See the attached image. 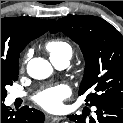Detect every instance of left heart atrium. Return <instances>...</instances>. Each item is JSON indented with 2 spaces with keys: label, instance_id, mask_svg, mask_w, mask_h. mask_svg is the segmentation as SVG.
I'll return each mask as SVG.
<instances>
[{
  "label": "left heart atrium",
  "instance_id": "obj_1",
  "mask_svg": "<svg viewBox=\"0 0 123 123\" xmlns=\"http://www.w3.org/2000/svg\"><path fill=\"white\" fill-rule=\"evenodd\" d=\"M70 91L65 85H56L41 90L35 97V102L46 110H58L62 101L68 97Z\"/></svg>",
  "mask_w": 123,
  "mask_h": 123
}]
</instances>
